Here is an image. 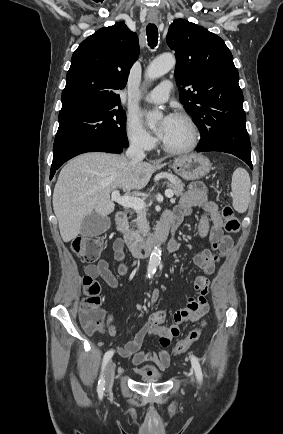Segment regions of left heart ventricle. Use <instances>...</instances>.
<instances>
[{
  "mask_svg": "<svg viewBox=\"0 0 283 434\" xmlns=\"http://www.w3.org/2000/svg\"><path fill=\"white\" fill-rule=\"evenodd\" d=\"M189 138L190 133L185 122L175 117L173 126L163 141L171 147H182L189 142Z\"/></svg>",
  "mask_w": 283,
  "mask_h": 434,
  "instance_id": "b2bd125f",
  "label": "left heart ventricle"
}]
</instances>
